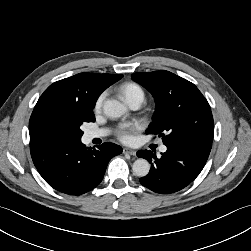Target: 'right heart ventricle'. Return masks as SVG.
<instances>
[{"mask_svg":"<svg viewBox=\"0 0 251 251\" xmlns=\"http://www.w3.org/2000/svg\"><path fill=\"white\" fill-rule=\"evenodd\" d=\"M120 92L125 100L131 104L135 101L143 102L145 93L143 88L134 82H127L120 86Z\"/></svg>","mask_w":251,"mask_h":251,"instance_id":"obj_1","label":"right heart ventricle"}]
</instances>
